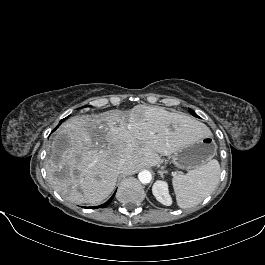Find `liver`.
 Segmentation results:
<instances>
[{
    "label": "liver",
    "instance_id": "obj_1",
    "mask_svg": "<svg viewBox=\"0 0 265 265\" xmlns=\"http://www.w3.org/2000/svg\"><path fill=\"white\" fill-rule=\"evenodd\" d=\"M210 134L203 123L157 106L74 116L53 139L47 178L66 200L99 204L114 190L121 160L126 162L123 173L132 174L157 165L160 156L173 154L186 140Z\"/></svg>",
    "mask_w": 265,
    "mask_h": 265
}]
</instances>
